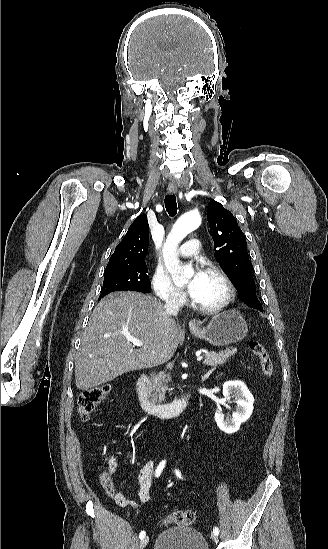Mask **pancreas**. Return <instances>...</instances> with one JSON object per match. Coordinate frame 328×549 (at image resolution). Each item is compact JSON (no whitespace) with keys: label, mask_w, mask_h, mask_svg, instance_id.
Listing matches in <instances>:
<instances>
[{"label":"pancreas","mask_w":328,"mask_h":549,"mask_svg":"<svg viewBox=\"0 0 328 549\" xmlns=\"http://www.w3.org/2000/svg\"><path fill=\"white\" fill-rule=\"evenodd\" d=\"M235 353V349H225V351H221V353H214V351H211V353L205 355L203 363L204 365L213 367L211 371H214L217 365H224L227 359L232 357V355H235ZM169 381L170 375H164V373H159V375H155V377L151 379L150 383L147 385V391L152 399H158V403L164 401L165 393L168 391V387L165 383H169Z\"/></svg>","instance_id":"obj_1"}]
</instances>
